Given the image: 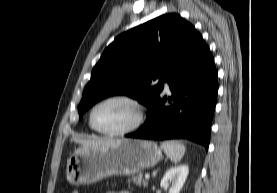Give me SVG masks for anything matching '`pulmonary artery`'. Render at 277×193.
I'll return each mask as SVG.
<instances>
[{
  "mask_svg": "<svg viewBox=\"0 0 277 193\" xmlns=\"http://www.w3.org/2000/svg\"><path fill=\"white\" fill-rule=\"evenodd\" d=\"M164 85H165V90H169L170 87L167 81L164 82Z\"/></svg>",
  "mask_w": 277,
  "mask_h": 193,
  "instance_id": "pulmonary-artery-1",
  "label": "pulmonary artery"
}]
</instances>
